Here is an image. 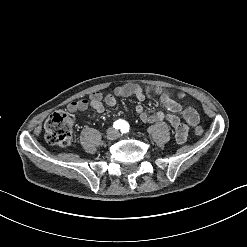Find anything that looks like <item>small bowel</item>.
I'll return each instance as SVG.
<instances>
[{
	"label": "small bowel",
	"mask_w": 247,
	"mask_h": 247,
	"mask_svg": "<svg viewBox=\"0 0 247 247\" xmlns=\"http://www.w3.org/2000/svg\"><path fill=\"white\" fill-rule=\"evenodd\" d=\"M139 85L134 83L120 85L114 88L113 93H108L105 96L99 91L91 94L88 100H77L67 105V110L70 113L82 112L91 108L98 113L104 111V106L113 107L117 103V97H135L139 101L142 100L137 93ZM156 94L160 95L161 105L169 112L165 115L161 111L154 112L152 114L147 113L143 106L137 105L135 107L136 113L144 123H154L162 120H166L172 128L175 129V140L178 144H183L186 141L188 128L182 125L180 122V116H185L186 123L192 128L199 126V115L197 111L192 107H187L182 103L184 93L175 92L172 90H164L159 87H155Z\"/></svg>",
	"instance_id": "obj_1"
}]
</instances>
